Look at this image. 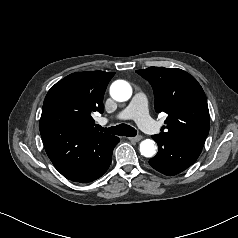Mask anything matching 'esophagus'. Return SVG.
<instances>
[{"label":"esophagus","mask_w":238,"mask_h":238,"mask_svg":"<svg viewBox=\"0 0 238 238\" xmlns=\"http://www.w3.org/2000/svg\"><path fill=\"white\" fill-rule=\"evenodd\" d=\"M128 139L130 141L139 142L142 139V136L138 135V136H135V137H129Z\"/></svg>","instance_id":"obj_1"}]
</instances>
